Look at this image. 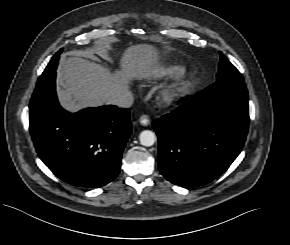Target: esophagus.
Instances as JSON below:
<instances>
[{"instance_id":"obj_1","label":"esophagus","mask_w":290,"mask_h":245,"mask_svg":"<svg viewBox=\"0 0 290 245\" xmlns=\"http://www.w3.org/2000/svg\"><path fill=\"white\" fill-rule=\"evenodd\" d=\"M139 123L143 126H148L150 124V118L147 114H142L139 118Z\"/></svg>"}]
</instances>
